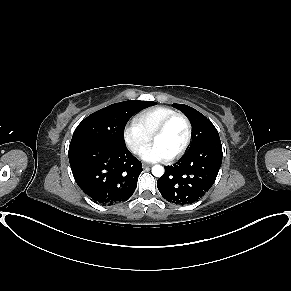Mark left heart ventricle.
Masks as SVG:
<instances>
[{
	"label": "left heart ventricle",
	"mask_w": 291,
	"mask_h": 291,
	"mask_svg": "<svg viewBox=\"0 0 291 291\" xmlns=\"http://www.w3.org/2000/svg\"><path fill=\"white\" fill-rule=\"evenodd\" d=\"M186 139V125L180 118L175 119L168 129L154 139L171 156L175 154L184 144Z\"/></svg>",
	"instance_id": "1"
}]
</instances>
